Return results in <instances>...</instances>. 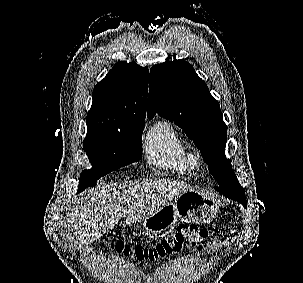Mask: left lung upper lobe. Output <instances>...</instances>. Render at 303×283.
<instances>
[{
	"label": "left lung upper lobe",
	"mask_w": 303,
	"mask_h": 283,
	"mask_svg": "<svg viewBox=\"0 0 303 283\" xmlns=\"http://www.w3.org/2000/svg\"><path fill=\"white\" fill-rule=\"evenodd\" d=\"M158 113L174 122L193 140L218 183L219 193L245 191L225 157L227 126L219 103L206 83L184 60L166 61L152 66L148 97V118Z\"/></svg>",
	"instance_id": "obj_1"
}]
</instances>
